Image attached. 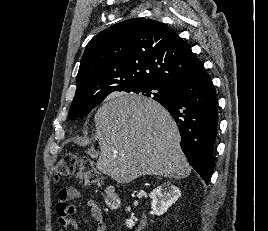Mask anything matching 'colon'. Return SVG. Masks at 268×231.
<instances>
[{
  "label": "colon",
  "instance_id": "colon-1",
  "mask_svg": "<svg viewBox=\"0 0 268 231\" xmlns=\"http://www.w3.org/2000/svg\"><path fill=\"white\" fill-rule=\"evenodd\" d=\"M73 174H76L86 185H93L99 181V172L88 159H80L71 154L65 155L55 166V178L60 180Z\"/></svg>",
  "mask_w": 268,
  "mask_h": 231
}]
</instances>
